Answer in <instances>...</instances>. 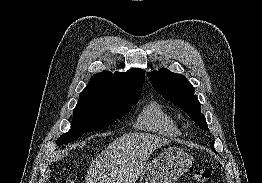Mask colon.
Here are the masks:
<instances>
[{"label": "colon", "instance_id": "1", "mask_svg": "<svg viewBox=\"0 0 262 183\" xmlns=\"http://www.w3.org/2000/svg\"><path fill=\"white\" fill-rule=\"evenodd\" d=\"M211 177V172L207 169L196 170L193 173V178L196 183H208ZM59 183H74L73 180H62Z\"/></svg>", "mask_w": 262, "mask_h": 183}]
</instances>
